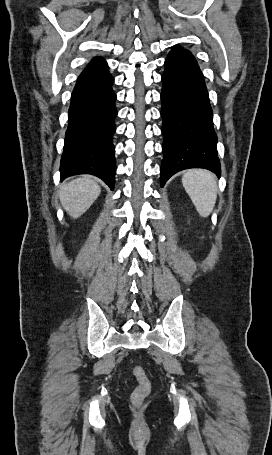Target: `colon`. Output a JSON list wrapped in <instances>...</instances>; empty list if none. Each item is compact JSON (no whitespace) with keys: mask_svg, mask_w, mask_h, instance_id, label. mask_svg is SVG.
<instances>
[{"mask_svg":"<svg viewBox=\"0 0 272 455\" xmlns=\"http://www.w3.org/2000/svg\"><path fill=\"white\" fill-rule=\"evenodd\" d=\"M133 376L138 384L132 393V401L135 404H140L150 393V381L145 370L140 366L134 367Z\"/></svg>","mask_w":272,"mask_h":455,"instance_id":"obj_1","label":"colon"}]
</instances>
